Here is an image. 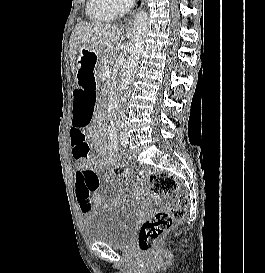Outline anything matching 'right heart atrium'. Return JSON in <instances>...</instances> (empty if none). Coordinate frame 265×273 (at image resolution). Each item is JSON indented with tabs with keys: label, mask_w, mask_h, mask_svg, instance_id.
Here are the masks:
<instances>
[{
	"label": "right heart atrium",
	"mask_w": 265,
	"mask_h": 273,
	"mask_svg": "<svg viewBox=\"0 0 265 273\" xmlns=\"http://www.w3.org/2000/svg\"><path fill=\"white\" fill-rule=\"evenodd\" d=\"M106 5L114 11L116 14L117 13H123L126 11L133 0H104Z\"/></svg>",
	"instance_id": "1"
}]
</instances>
